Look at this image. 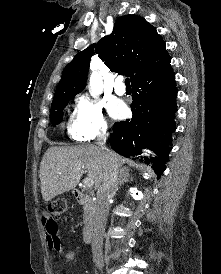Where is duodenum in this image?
Instances as JSON below:
<instances>
[{
	"instance_id": "410a0bca",
	"label": "duodenum",
	"mask_w": 221,
	"mask_h": 274,
	"mask_svg": "<svg viewBox=\"0 0 221 274\" xmlns=\"http://www.w3.org/2000/svg\"><path fill=\"white\" fill-rule=\"evenodd\" d=\"M74 196L78 203L86 207V212L84 215L85 227L83 231V241L85 243H88L91 239L93 223L96 216V210H97L96 202L90 195L80 190H75Z\"/></svg>"
}]
</instances>
